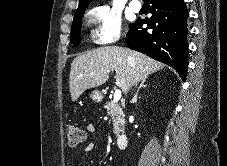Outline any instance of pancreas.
I'll use <instances>...</instances> for the list:
<instances>
[{
    "label": "pancreas",
    "instance_id": "pancreas-1",
    "mask_svg": "<svg viewBox=\"0 0 227 166\" xmlns=\"http://www.w3.org/2000/svg\"><path fill=\"white\" fill-rule=\"evenodd\" d=\"M104 108L107 110L108 114L112 116L114 134L119 135V132L124 127L125 124V115L121 106L113 101L107 102Z\"/></svg>",
    "mask_w": 227,
    "mask_h": 166
}]
</instances>
